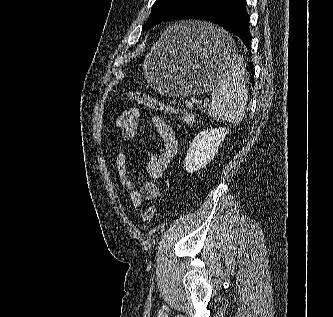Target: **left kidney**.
<instances>
[{"label": "left kidney", "mask_w": 333, "mask_h": 317, "mask_svg": "<svg viewBox=\"0 0 333 317\" xmlns=\"http://www.w3.org/2000/svg\"><path fill=\"white\" fill-rule=\"evenodd\" d=\"M227 132L226 128H216L198 133L187 150L184 169L193 173L205 167L217 153Z\"/></svg>", "instance_id": "1"}]
</instances>
